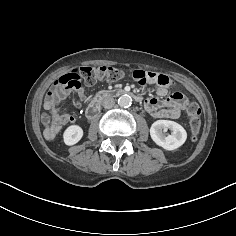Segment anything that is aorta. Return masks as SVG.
I'll return each mask as SVG.
<instances>
[{
    "label": "aorta",
    "instance_id": "aorta-1",
    "mask_svg": "<svg viewBox=\"0 0 236 236\" xmlns=\"http://www.w3.org/2000/svg\"><path fill=\"white\" fill-rule=\"evenodd\" d=\"M132 104V98L129 95H122L118 99V105L122 108H128Z\"/></svg>",
    "mask_w": 236,
    "mask_h": 236
}]
</instances>
